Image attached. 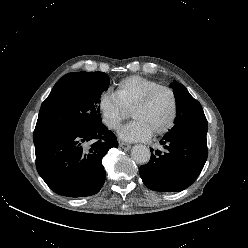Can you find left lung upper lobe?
<instances>
[{"label": "left lung upper lobe", "instance_id": "5c2ea615", "mask_svg": "<svg viewBox=\"0 0 248 248\" xmlns=\"http://www.w3.org/2000/svg\"><path fill=\"white\" fill-rule=\"evenodd\" d=\"M170 86L176 98L177 116L169 133L180 130L207 133L208 123L201 104L190 95L184 85L174 81Z\"/></svg>", "mask_w": 248, "mask_h": 248}]
</instances>
